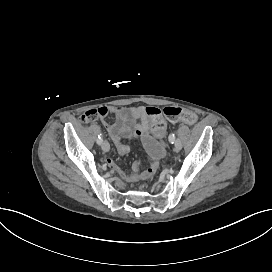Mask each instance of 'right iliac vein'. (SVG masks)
I'll use <instances>...</instances> for the list:
<instances>
[{
    "instance_id": "obj_1",
    "label": "right iliac vein",
    "mask_w": 272,
    "mask_h": 272,
    "mask_svg": "<svg viewBox=\"0 0 272 272\" xmlns=\"http://www.w3.org/2000/svg\"><path fill=\"white\" fill-rule=\"evenodd\" d=\"M101 148L104 152H108L110 150V145L108 143V141L104 140L102 143H101Z\"/></svg>"
}]
</instances>
